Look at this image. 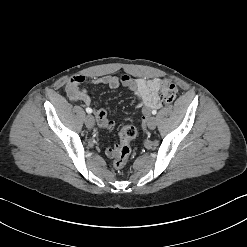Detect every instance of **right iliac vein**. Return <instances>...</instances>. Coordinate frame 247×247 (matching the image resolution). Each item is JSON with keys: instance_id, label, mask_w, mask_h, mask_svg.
<instances>
[{"instance_id": "1", "label": "right iliac vein", "mask_w": 247, "mask_h": 247, "mask_svg": "<svg viewBox=\"0 0 247 247\" xmlns=\"http://www.w3.org/2000/svg\"><path fill=\"white\" fill-rule=\"evenodd\" d=\"M85 124L88 128H92L95 124L94 117L92 115H87L85 119Z\"/></svg>"}]
</instances>
